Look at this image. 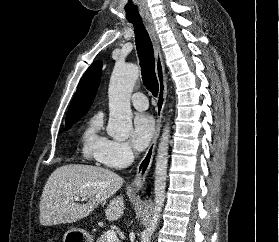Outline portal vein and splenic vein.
<instances>
[{"label": "portal vein and splenic vein", "mask_w": 279, "mask_h": 242, "mask_svg": "<svg viewBox=\"0 0 279 242\" xmlns=\"http://www.w3.org/2000/svg\"><path fill=\"white\" fill-rule=\"evenodd\" d=\"M74 198L77 201L80 200V197H78V196H75ZM106 237H107V242H114L117 239L116 232L113 229L108 230L106 232Z\"/></svg>", "instance_id": "portal-vein-and-splenic-vein-1"}]
</instances>
